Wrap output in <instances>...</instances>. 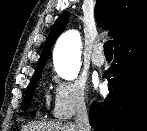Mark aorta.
Listing matches in <instances>:
<instances>
[{
    "instance_id": "obj_1",
    "label": "aorta",
    "mask_w": 147,
    "mask_h": 131,
    "mask_svg": "<svg viewBox=\"0 0 147 131\" xmlns=\"http://www.w3.org/2000/svg\"><path fill=\"white\" fill-rule=\"evenodd\" d=\"M82 42L75 30L65 32L56 43L53 62L57 74L65 80H74L80 70Z\"/></svg>"
}]
</instances>
